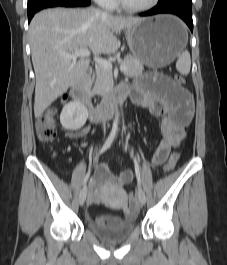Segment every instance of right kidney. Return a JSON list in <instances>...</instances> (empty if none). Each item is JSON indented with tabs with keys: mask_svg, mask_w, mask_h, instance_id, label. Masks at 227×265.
<instances>
[{
	"mask_svg": "<svg viewBox=\"0 0 227 265\" xmlns=\"http://www.w3.org/2000/svg\"><path fill=\"white\" fill-rule=\"evenodd\" d=\"M88 118L87 108L79 102H70L64 106L60 122L63 128L71 131L79 130Z\"/></svg>",
	"mask_w": 227,
	"mask_h": 265,
	"instance_id": "ca27d5eb",
	"label": "right kidney"
}]
</instances>
